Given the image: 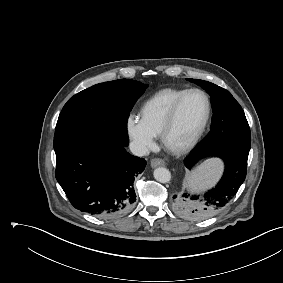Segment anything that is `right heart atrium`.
I'll use <instances>...</instances> for the list:
<instances>
[{"mask_svg":"<svg viewBox=\"0 0 283 283\" xmlns=\"http://www.w3.org/2000/svg\"><path fill=\"white\" fill-rule=\"evenodd\" d=\"M126 132L137 154H145L155 144V136L133 115L126 119Z\"/></svg>","mask_w":283,"mask_h":283,"instance_id":"obj_1","label":"right heart atrium"}]
</instances>
